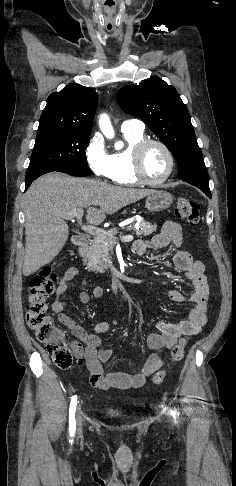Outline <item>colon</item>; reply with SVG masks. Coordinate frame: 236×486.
<instances>
[{
    "label": "colon",
    "instance_id": "obj_1",
    "mask_svg": "<svg viewBox=\"0 0 236 486\" xmlns=\"http://www.w3.org/2000/svg\"><path fill=\"white\" fill-rule=\"evenodd\" d=\"M175 216L190 225H197L200 220L198 204L187 198H180L175 208ZM57 276L50 267H43L30 280L26 298V320L37 339L43 343L53 360L60 368H68L73 363V352L64 333L55 327L48 313L47 298L54 292ZM188 338H182L171 350L172 362L180 361L184 356ZM166 370L158 371L154 383L164 380Z\"/></svg>",
    "mask_w": 236,
    "mask_h": 486
}]
</instances>
